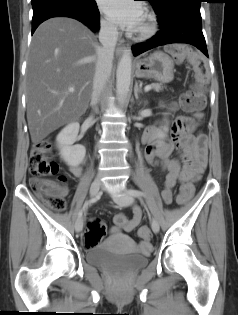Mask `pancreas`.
I'll use <instances>...</instances> for the list:
<instances>
[{"mask_svg": "<svg viewBox=\"0 0 238 315\" xmlns=\"http://www.w3.org/2000/svg\"><path fill=\"white\" fill-rule=\"evenodd\" d=\"M151 86L157 92L163 89V85L161 83H152Z\"/></svg>", "mask_w": 238, "mask_h": 315, "instance_id": "1", "label": "pancreas"}]
</instances>
